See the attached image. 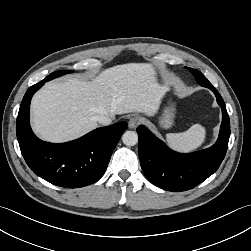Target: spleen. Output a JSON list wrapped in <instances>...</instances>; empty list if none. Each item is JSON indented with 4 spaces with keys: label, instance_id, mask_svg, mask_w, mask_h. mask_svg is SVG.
<instances>
[{
    "label": "spleen",
    "instance_id": "obj_1",
    "mask_svg": "<svg viewBox=\"0 0 251 251\" xmlns=\"http://www.w3.org/2000/svg\"><path fill=\"white\" fill-rule=\"evenodd\" d=\"M205 138L206 129L200 124H194L185 132L166 135L168 145L180 152L196 150L204 143Z\"/></svg>",
    "mask_w": 251,
    "mask_h": 251
}]
</instances>
